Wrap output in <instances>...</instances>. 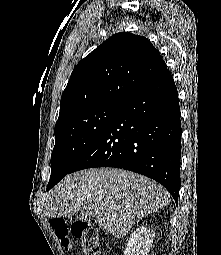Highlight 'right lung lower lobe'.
Instances as JSON below:
<instances>
[{"label":"right lung lower lobe","instance_id":"right-lung-lower-lobe-1","mask_svg":"<svg viewBox=\"0 0 221 255\" xmlns=\"http://www.w3.org/2000/svg\"><path fill=\"white\" fill-rule=\"evenodd\" d=\"M181 132L177 87L166 69L120 103L69 173L92 167L123 168L161 183L177 203Z\"/></svg>","mask_w":221,"mask_h":255}]
</instances>
